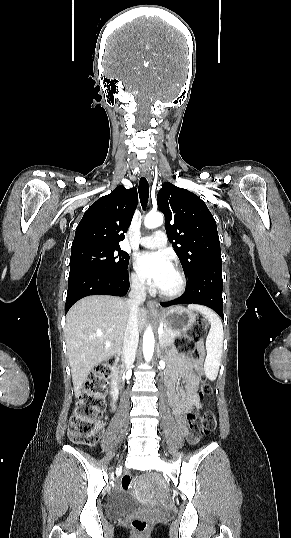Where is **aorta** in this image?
<instances>
[{
	"instance_id": "aorta-1",
	"label": "aorta",
	"mask_w": 291,
	"mask_h": 538,
	"mask_svg": "<svg viewBox=\"0 0 291 538\" xmlns=\"http://www.w3.org/2000/svg\"><path fill=\"white\" fill-rule=\"evenodd\" d=\"M163 215L159 212H150L144 220V225L148 229L159 227L163 224ZM155 338L151 326H148L143 335V355L146 362L151 361L154 353Z\"/></svg>"
}]
</instances>
